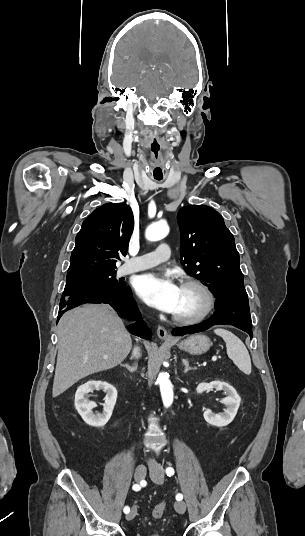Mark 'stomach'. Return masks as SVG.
<instances>
[{"mask_svg":"<svg viewBox=\"0 0 305 536\" xmlns=\"http://www.w3.org/2000/svg\"><path fill=\"white\" fill-rule=\"evenodd\" d=\"M177 346L180 350H184V352H188L192 356H200V354L208 352L210 346H212V342H210V338H207V336L195 334V336H189L183 342H179Z\"/></svg>","mask_w":305,"mask_h":536,"instance_id":"1","label":"stomach"}]
</instances>
